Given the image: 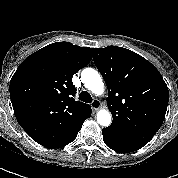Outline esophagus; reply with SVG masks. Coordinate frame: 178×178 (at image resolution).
Here are the masks:
<instances>
[{"label": "esophagus", "mask_w": 178, "mask_h": 178, "mask_svg": "<svg viewBox=\"0 0 178 178\" xmlns=\"http://www.w3.org/2000/svg\"><path fill=\"white\" fill-rule=\"evenodd\" d=\"M101 106V103L98 99L93 100V102L91 103V108L93 109V111H97Z\"/></svg>", "instance_id": "34e87169"}]
</instances>
